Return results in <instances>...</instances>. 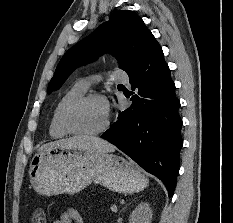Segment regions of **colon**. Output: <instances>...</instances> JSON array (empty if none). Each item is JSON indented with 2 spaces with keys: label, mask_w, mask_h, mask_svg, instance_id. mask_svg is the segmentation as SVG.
Listing matches in <instances>:
<instances>
[{
  "label": "colon",
  "mask_w": 233,
  "mask_h": 223,
  "mask_svg": "<svg viewBox=\"0 0 233 223\" xmlns=\"http://www.w3.org/2000/svg\"><path fill=\"white\" fill-rule=\"evenodd\" d=\"M33 223H45L44 216L36 213L32 219Z\"/></svg>",
  "instance_id": "obj_1"
}]
</instances>
